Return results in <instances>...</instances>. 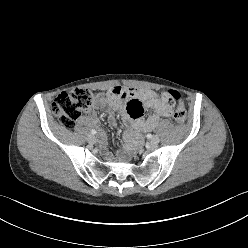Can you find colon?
<instances>
[{
	"mask_svg": "<svg viewBox=\"0 0 248 248\" xmlns=\"http://www.w3.org/2000/svg\"><path fill=\"white\" fill-rule=\"evenodd\" d=\"M163 95L175 107L174 119L180 124L185 123L186 110L181 95L174 90L164 91ZM97 97L86 89L63 92L52 103V112L64 127L71 129L75 126L82 111L91 108L96 103Z\"/></svg>",
	"mask_w": 248,
	"mask_h": 248,
	"instance_id": "5ec220e1",
	"label": "colon"
}]
</instances>
